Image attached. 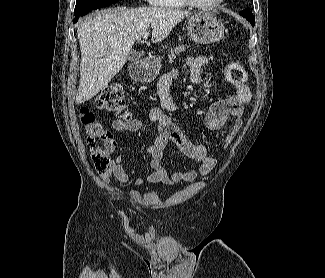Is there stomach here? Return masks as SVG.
Instances as JSON below:
<instances>
[{"mask_svg": "<svg viewBox=\"0 0 325 278\" xmlns=\"http://www.w3.org/2000/svg\"><path fill=\"white\" fill-rule=\"evenodd\" d=\"M187 30L188 37L193 42L199 44L215 43L220 41L224 36L223 23L209 13L196 14L189 17ZM160 68V61L156 60L148 65L135 67L131 72V77L138 82H152L159 74Z\"/></svg>", "mask_w": 325, "mask_h": 278, "instance_id": "stomach-1", "label": "stomach"}]
</instances>
